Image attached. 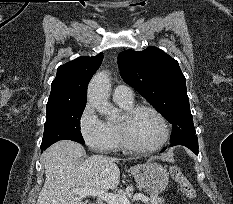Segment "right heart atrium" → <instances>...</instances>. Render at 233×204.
Instances as JSON below:
<instances>
[{"instance_id":"obj_1","label":"right heart atrium","mask_w":233,"mask_h":204,"mask_svg":"<svg viewBox=\"0 0 233 204\" xmlns=\"http://www.w3.org/2000/svg\"><path fill=\"white\" fill-rule=\"evenodd\" d=\"M79 130L85 144L96 152L113 149V137L108 124L96 113L90 103L84 106L79 118Z\"/></svg>"}]
</instances>
